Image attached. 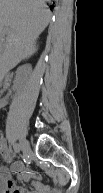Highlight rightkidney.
<instances>
[{"instance_id": "obj_1", "label": "right kidney", "mask_w": 103, "mask_h": 193, "mask_svg": "<svg viewBox=\"0 0 103 193\" xmlns=\"http://www.w3.org/2000/svg\"><path fill=\"white\" fill-rule=\"evenodd\" d=\"M27 69L30 70V69H31V66H30V65H26L25 67H23V68L20 69V72H19V73H23V72H25Z\"/></svg>"}]
</instances>
